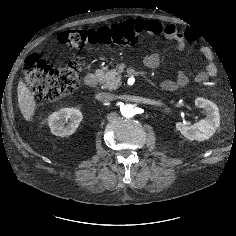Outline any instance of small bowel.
Returning <instances> with one entry per match:
<instances>
[{"label": "small bowel", "instance_id": "1", "mask_svg": "<svg viewBox=\"0 0 236 236\" xmlns=\"http://www.w3.org/2000/svg\"><path fill=\"white\" fill-rule=\"evenodd\" d=\"M144 29L150 35L164 36L167 39L173 40L179 49H184L186 46V34L178 26L173 24L164 25L157 20H148L144 22ZM192 41H196L197 37L191 35ZM201 53L206 62L204 69L195 76V81L202 83L209 78H213L217 74V68L213 61L212 53L207 48H201ZM161 61V55L158 52L151 53L144 57V64L150 68L157 67ZM191 78V74L180 72L176 80H165L162 83V88L166 91H175L185 87Z\"/></svg>", "mask_w": 236, "mask_h": 236}]
</instances>
